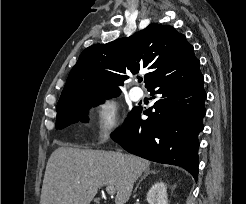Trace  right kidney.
<instances>
[{
	"label": "right kidney",
	"mask_w": 246,
	"mask_h": 204,
	"mask_svg": "<svg viewBox=\"0 0 246 204\" xmlns=\"http://www.w3.org/2000/svg\"><path fill=\"white\" fill-rule=\"evenodd\" d=\"M146 200L149 204H168L166 185L155 183L148 191Z\"/></svg>",
	"instance_id": "obj_1"
}]
</instances>
